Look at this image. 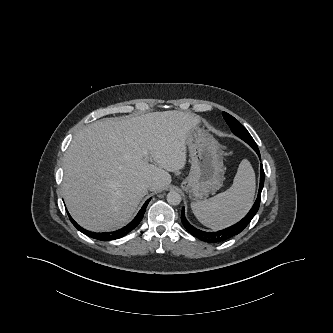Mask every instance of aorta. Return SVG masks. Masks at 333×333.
Segmentation results:
<instances>
[{
  "instance_id": "obj_1",
  "label": "aorta",
  "mask_w": 333,
  "mask_h": 333,
  "mask_svg": "<svg viewBox=\"0 0 333 333\" xmlns=\"http://www.w3.org/2000/svg\"><path fill=\"white\" fill-rule=\"evenodd\" d=\"M167 202L171 205H178L181 202V195L176 191H170L167 194Z\"/></svg>"
}]
</instances>
